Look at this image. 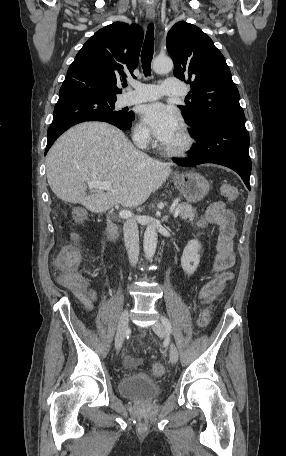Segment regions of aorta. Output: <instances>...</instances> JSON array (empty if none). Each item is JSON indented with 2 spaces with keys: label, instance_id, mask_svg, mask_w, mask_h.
<instances>
[{
  "label": "aorta",
  "instance_id": "obj_1",
  "mask_svg": "<svg viewBox=\"0 0 286 456\" xmlns=\"http://www.w3.org/2000/svg\"><path fill=\"white\" fill-rule=\"evenodd\" d=\"M153 70L158 74H165L173 70V61L168 57H156L153 61ZM157 247V232L154 225H149L144 233L143 248L147 259H152Z\"/></svg>",
  "mask_w": 286,
  "mask_h": 456
}]
</instances>
